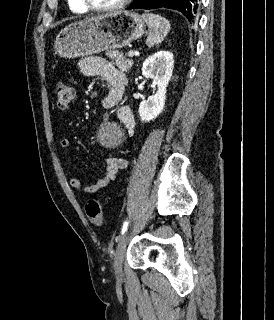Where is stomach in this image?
Masks as SVG:
<instances>
[{
  "mask_svg": "<svg viewBox=\"0 0 274 320\" xmlns=\"http://www.w3.org/2000/svg\"><path fill=\"white\" fill-rule=\"evenodd\" d=\"M145 34V22L134 12H113L70 24L59 32L54 52L60 58H84L120 50Z\"/></svg>",
  "mask_w": 274,
  "mask_h": 320,
  "instance_id": "1",
  "label": "stomach"
}]
</instances>
